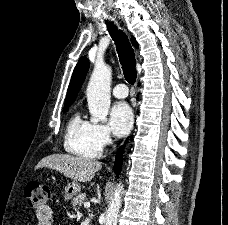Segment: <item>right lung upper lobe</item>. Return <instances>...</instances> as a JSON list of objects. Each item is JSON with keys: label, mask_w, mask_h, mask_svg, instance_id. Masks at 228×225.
<instances>
[{"label": "right lung upper lobe", "mask_w": 228, "mask_h": 225, "mask_svg": "<svg viewBox=\"0 0 228 225\" xmlns=\"http://www.w3.org/2000/svg\"><path fill=\"white\" fill-rule=\"evenodd\" d=\"M131 41L133 45L136 48H138V43L136 42L134 37L131 38ZM88 68H89L88 59L86 58V56L81 57L74 69L64 106L71 105L74 102L77 96V93L80 90L83 84V81L85 79V76L88 72Z\"/></svg>", "instance_id": "1"}]
</instances>
